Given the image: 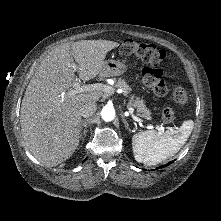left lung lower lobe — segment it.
I'll return each instance as SVG.
<instances>
[{"mask_svg": "<svg viewBox=\"0 0 221 221\" xmlns=\"http://www.w3.org/2000/svg\"><path fill=\"white\" fill-rule=\"evenodd\" d=\"M172 162H169L168 164H165V165H162L161 167H159V168H163V167H166V166H168L169 164H171ZM158 169V168H157Z\"/></svg>", "mask_w": 221, "mask_h": 221, "instance_id": "0a47b994", "label": "left lung lower lobe"}]
</instances>
